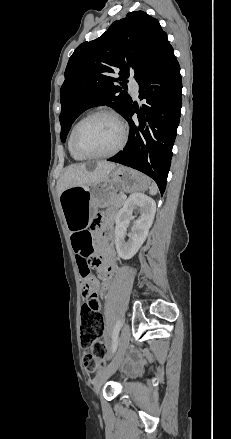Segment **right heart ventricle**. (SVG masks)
<instances>
[{"label":"right heart ventricle","instance_id":"e07e8e85","mask_svg":"<svg viewBox=\"0 0 231 439\" xmlns=\"http://www.w3.org/2000/svg\"><path fill=\"white\" fill-rule=\"evenodd\" d=\"M71 132H72V131H71ZM70 136H71V134H70ZM68 149H69V152H70L71 156L73 157V159H75V160H83V159H84L83 157H81L80 155H78V154L72 149L71 141H70V137H69V140H68Z\"/></svg>","mask_w":231,"mask_h":439}]
</instances>
